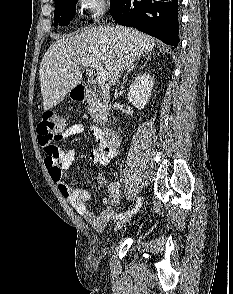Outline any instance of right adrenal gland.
Instances as JSON below:
<instances>
[{
	"instance_id": "right-adrenal-gland-1",
	"label": "right adrenal gland",
	"mask_w": 233,
	"mask_h": 294,
	"mask_svg": "<svg viewBox=\"0 0 233 294\" xmlns=\"http://www.w3.org/2000/svg\"><path fill=\"white\" fill-rule=\"evenodd\" d=\"M136 65H137V63L134 64V65H132V66L128 69V71L126 72V74H125L123 80H125V78L127 77V75L130 73V71H132V70L136 67Z\"/></svg>"
}]
</instances>
